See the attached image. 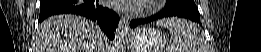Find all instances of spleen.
Instances as JSON below:
<instances>
[{
    "mask_svg": "<svg viewBox=\"0 0 261 52\" xmlns=\"http://www.w3.org/2000/svg\"><path fill=\"white\" fill-rule=\"evenodd\" d=\"M157 26L167 27L173 43L169 52H204L199 48V31L195 25L184 19L169 18L157 22Z\"/></svg>",
    "mask_w": 261,
    "mask_h": 52,
    "instance_id": "obj_1",
    "label": "spleen"
}]
</instances>
